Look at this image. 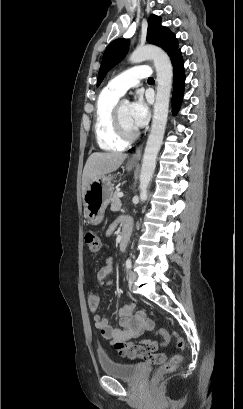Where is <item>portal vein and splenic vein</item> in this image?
Listing matches in <instances>:
<instances>
[{
  "label": "portal vein and splenic vein",
  "mask_w": 243,
  "mask_h": 409,
  "mask_svg": "<svg viewBox=\"0 0 243 409\" xmlns=\"http://www.w3.org/2000/svg\"><path fill=\"white\" fill-rule=\"evenodd\" d=\"M118 197H123V193L122 192L118 193Z\"/></svg>",
  "instance_id": "18ae733b"
}]
</instances>
